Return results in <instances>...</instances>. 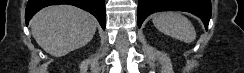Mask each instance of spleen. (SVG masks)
Wrapping results in <instances>:
<instances>
[{
    "mask_svg": "<svg viewBox=\"0 0 244 73\" xmlns=\"http://www.w3.org/2000/svg\"><path fill=\"white\" fill-rule=\"evenodd\" d=\"M152 22L160 32L185 43H191L196 38L191 21L178 12L158 13L153 16Z\"/></svg>",
    "mask_w": 244,
    "mask_h": 73,
    "instance_id": "spleen-1",
    "label": "spleen"
}]
</instances>
